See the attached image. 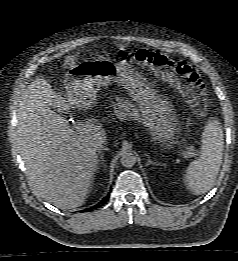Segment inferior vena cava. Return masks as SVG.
I'll return each mask as SVG.
<instances>
[{"mask_svg":"<svg viewBox=\"0 0 238 261\" xmlns=\"http://www.w3.org/2000/svg\"><path fill=\"white\" fill-rule=\"evenodd\" d=\"M104 148H106V147L103 145V143H100V144H98V145L96 146V150H97L98 152H100V151L103 150Z\"/></svg>","mask_w":238,"mask_h":261,"instance_id":"1","label":"inferior vena cava"}]
</instances>
